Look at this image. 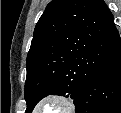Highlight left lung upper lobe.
<instances>
[{"instance_id":"5c2ea615","label":"left lung upper lobe","mask_w":121,"mask_h":113,"mask_svg":"<svg viewBox=\"0 0 121 113\" xmlns=\"http://www.w3.org/2000/svg\"><path fill=\"white\" fill-rule=\"evenodd\" d=\"M117 36L103 0H52L36 24L27 55L26 113L50 94L76 103Z\"/></svg>"}]
</instances>
